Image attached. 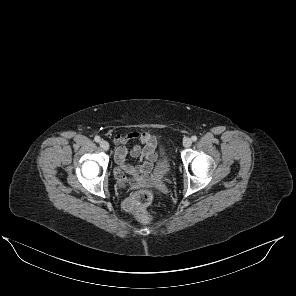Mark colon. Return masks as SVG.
Here are the masks:
<instances>
[{"label": "colon", "mask_w": 296, "mask_h": 296, "mask_svg": "<svg viewBox=\"0 0 296 296\" xmlns=\"http://www.w3.org/2000/svg\"><path fill=\"white\" fill-rule=\"evenodd\" d=\"M153 196L147 190H141L133 193L126 201L125 208L137 216L142 222L148 223L152 220L151 215L146 211V208L152 202Z\"/></svg>", "instance_id": "colon-1"}]
</instances>
